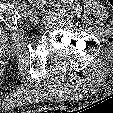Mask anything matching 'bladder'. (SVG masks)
<instances>
[{
    "mask_svg": "<svg viewBox=\"0 0 113 113\" xmlns=\"http://www.w3.org/2000/svg\"><path fill=\"white\" fill-rule=\"evenodd\" d=\"M9 39V32L3 24L0 23V46L5 44Z\"/></svg>",
    "mask_w": 113,
    "mask_h": 113,
    "instance_id": "1",
    "label": "bladder"
}]
</instances>
